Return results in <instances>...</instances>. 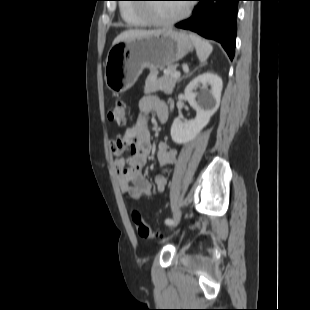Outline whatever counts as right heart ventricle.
I'll return each mask as SVG.
<instances>
[{
	"instance_id": "e07e8e85",
	"label": "right heart ventricle",
	"mask_w": 310,
	"mask_h": 310,
	"mask_svg": "<svg viewBox=\"0 0 310 310\" xmlns=\"http://www.w3.org/2000/svg\"><path fill=\"white\" fill-rule=\"evenodd\" d=\"M120 14L124 22L130 27H141L150 23L149 19L131 4H121Z\"/></svg>"
}]
</instances>
